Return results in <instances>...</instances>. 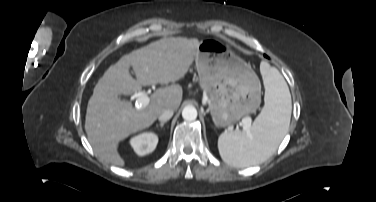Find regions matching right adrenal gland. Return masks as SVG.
<instances>
[{
	"label": "right adrenal gland",
	"instance_id": "1",
	"mask_svg": "<svg viewBox=\"0 0 376 202\" xmlns=\"http://www.w3.org/2000/svg\"><path fill=\"white\" fill-rule=\"evenodd\" d=\"M165 123H166V122H161V123L159 124V126H160V127H163Z\"/></svg>",
	"mask_w": 376,
	"mask_h": 202
}]
</instances>
